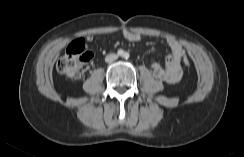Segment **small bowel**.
<instances>
[{
    "instance_id": "small-bowel-1",
    "label": "small bowel",
    "mask_w": 244,
    "mask_h": 157,
    "mask_svg": "<svg viewBox=\"0 0 244 157\" xmlns=\"http://www.w3.org/2000/svg\"><path fill=\"white\" fill-rule=\"evenodd\" d=\"M123 36L130 42H138L141 39V35L139 33L128 30L123 32ZM87 40L91 42L93 40V36H87ZM166 43L169 46L171 53L168 55L165 64L162 66L160 63L153 61L151 67L155 78L169 84H174L182 77L183 71L181 63L185 52L182 46L173 38H168Z\"/></svg>"
}]
</instances>
